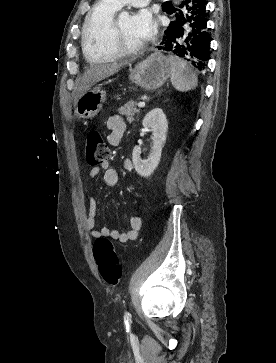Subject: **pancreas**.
I'll return each instance as SVG.
<instances>
[{"label":"pancreas","mask_w":276,"mask_h":363,"mask_svg":"<svg viewBox=\"0 0 276 363\" xmlns=\"http://www.w3.org/2000/svg\"><path fill=\"white\" fill-rule=\"evenodd\" d=\"M136 105V102L129 101L124 106L120 107L118 109V112L119 114L126 116L129 123H132L135 120V114H138L140 112V110L137 109Z\"/></svg>","instance_id":"obj_1"}]
</instances>
